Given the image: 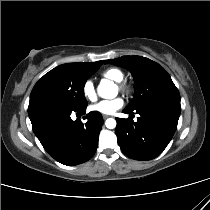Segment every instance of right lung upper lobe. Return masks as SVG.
<instances>
[{
  "instance_id": "right-lung-upper-lobe-1",
  "label": "right lung upper lobe",
  "mask_w": 210,
  "mask_h": 210,
  "mask_svg": "<svg viewBox=\"0 0 210 210\" xmlns=\"http://www.w3.org/2000/svg\"><path fill=\"white\" fill-rule=\"evenodd\" d=\"M87 62H84V63H81V62H79V63H70V64H72V65H74V66H83L84 64H86Z\"/></svg>"
}]
</instances>
